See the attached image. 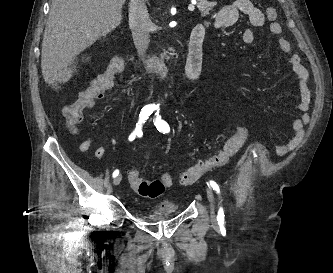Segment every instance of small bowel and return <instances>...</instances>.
I'll list each match as a JSON object with an SVG mask.
<instances>
[{
	"label": "small bowel",
	"mask_w": 333,
	"mask_h": 273,
	"mask_svg": "<svg viewBox=\"0 0 333 273\" xmlns=\"http://www.w3.org/2000/svg\"><path fill=\"white\" fill-rule=\"evenodd\" d=\"M244 14L253 27H261L264 25L265 11L260 10L252 5L249 0H234L233 2L225 5L217 13L213 26L215 28H226L233 26L237 21L239 14ZM205 29V25L201 24ZM269 29L272 34L277 37L279 47L282 52L289 55L290 65L298 78L299 89H300V104L299 110L302 112L300 119H297L293 125L294 137L287 143L281 146L282 152H289L295 149L299 141L301 140L303 134V125L308 120L309 115L307 113L310 103V92L308 88V75L301 64V59L298 54L292 53L291 45L282 36V29L278 22L270 23ZM242 40L245 44H251L254 42V34L250 29H245L242 32ZM241 128V127H240ZM94 142V138L90 137L84 140L79 145V150L81 152H87ZM95 156L97 159H103L106 154L105 147L100 144L95 149Z\"/></svg>",
	"instance_id": "obj_1"
}]
</instances>
